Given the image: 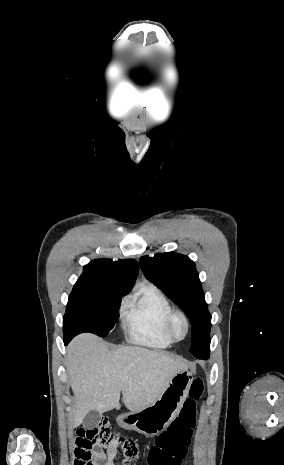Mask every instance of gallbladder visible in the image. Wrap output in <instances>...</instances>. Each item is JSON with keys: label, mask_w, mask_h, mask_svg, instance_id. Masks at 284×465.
<instances>
[{"label": "gallbladder", "mask_w": 284, "mask_h": 465, "mask_svg": "<svg viewBox=\"0 0 284 465\" xmlns=\"http://www.w3.org/2000/svg\"><path fill=\"white\" fill-rule=\"evenodd\" d=\"M100 421L101 415H99V413H96V411H90L87 417H85L82 425L83 427H85V429H95V427H98Z\"/></svg>", "instance_id": "1"}]
</instances>
